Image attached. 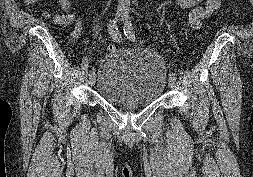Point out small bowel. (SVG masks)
Masks as SVG:
<instances>
[{
    "instance_id": "c3829d8e",
    "label": "small bowel",
    "mask_w": 253,
    "mask_h": 177,
    "mask_svg": "<svg viewBox=\"0 0 253 177\" xmlns=\"http://www.w3.org/2000/svg\"><path fill=\"white\" fill-rule=\"evenodd\" d=\"M40 0H23L25 5L31 6ZM175 3L183 10H189L188 20L192 28L198 29L205 19L210 18L221 7V0H174ZM58 4L63 10L62 14H53L46 10L43 12V17L52 18L53 22L59 26L73 25V31L70 38L76 39L79 37L82 29V19L73 10L70 0H58ZM100 30V20L95 19L94 32L97 35Z\"/></svg>"
}]
</instances>
